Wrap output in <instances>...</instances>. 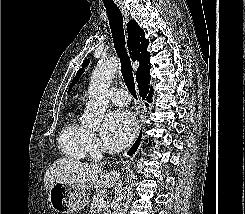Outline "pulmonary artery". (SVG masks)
Instances as JSON below:
<instances>
[{"label": "pulmonary artery", "mask_w": 245, "mask_h": 214, "mask_svg": "<svg viewBox=\"0 0 245 214\" xmlns=\"http://www.w3.org/2000/svg\"><path fill=\"white\" fill-rule=\"evenodd\" d=\"M108 97L117 105H128L130 102L129 94L124 89L120 88H111Z\"/></svg>", "instance_id": "obj_1"}]
</instances>
